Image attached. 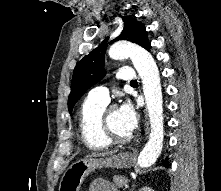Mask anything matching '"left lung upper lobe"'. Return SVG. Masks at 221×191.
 Segmentation results:
<instances>
[{
	"instance_id": "obj_1",
	"label": "left lung upper lobe",
	"mask_w": 221,
	"mask_h": 191,
	"mask_svg": "<svg viewBox=\"0 0 221 191\" xmlns=\"http://www.w3.org/2000/svg\"><path fill=\"white\" fill-rule=\"evenodd\" d=\"M122 19L124 22L123 31L113 41L127 40L147 49L150 43L144 25L134 18L122 17ZM106 41L107 39L76 65L72 76L71 93L68 98L70 113L85 91L105 76L104 58Z\"/></svg>"
}]
</instances>
